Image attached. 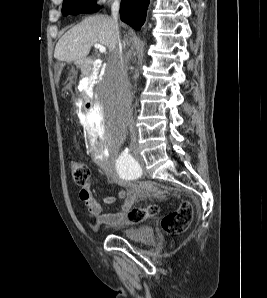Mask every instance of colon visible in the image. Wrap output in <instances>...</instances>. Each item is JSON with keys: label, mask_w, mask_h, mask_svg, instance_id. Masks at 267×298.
<instances>
[{"label": "colon", "mask_w": 267, "mask_h": 298, "mask_svg": "<svg viewBox=\"0 0 267 298\" xmlns=\"http://www.w3.org/2000/svg\"><path fill=\"white\" fill-rule=\"evenodd\" d=\"M68 167L73 182L76 185L84 186L89 178L87 166L77 159H70ZM158 213L159 206L156 204H151L146 207H135L128 212L127 219L131 224H138L150 217L156 216ZM192 217L193 211L191 204L187 201H183L175 210L167 213L162 218V229L168 234H181L189 228Z\"/></svg>", "instance_id": "5ec220e1"}]
</instances>
